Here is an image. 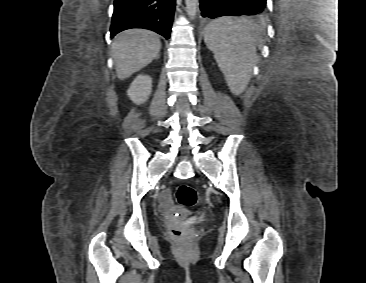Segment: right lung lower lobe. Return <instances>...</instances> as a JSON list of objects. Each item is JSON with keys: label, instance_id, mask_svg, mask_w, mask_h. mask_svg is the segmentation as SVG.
<instances>
[{"label": "right lung lower lobe", "instance_id": "1", "mask_svg": "<svg viewBox=\"0 0 366 283\" xmlns=\"http://www.w3.org/2000/svg\"><path fill=\"white\" fill-rule=\"evenodd\" d=\"M175 0H115L111 37L131 28L153 30L170 37Z\"/></svg>", "mask_w": 366, "mask_h": 283}]
</instances>
